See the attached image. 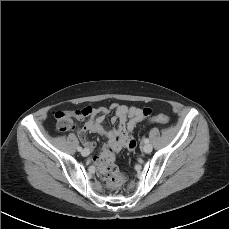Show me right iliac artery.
Here are the masks:
<instances>
[{
    "mask_svg": "<svg viewBox=\"0 0 229 229\" xmlns=\"http://www.w3.org/2000/svg\"><path fill=\"white\" fill-rule=\"evenodd\" d=\"M77 150H78V151H82V147L78 146V147H77Z\"/></svg>",
    "mask_w": 229,
    "mask_h": 229,
    "instance_id": "1",
    "label": "right iliac artery"
}]
</instances>
